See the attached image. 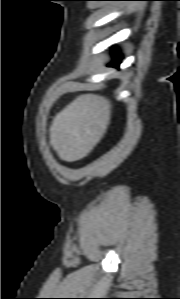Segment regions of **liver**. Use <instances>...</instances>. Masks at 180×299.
Masks as SVG:
<instances>
[{
  "instance_id": "obj_1",
  "label": "liver",
  "mask_w": 180,
  "mask_h": 299,
  "mask_svg": "<svg viewBox=\"0 0 180 299\" xmlns=\"http://www.w3.org/2000/svg\"><path fill=\"white\" fill-rule=\"evenodd\" d=\"M111 102L100 95L83 94L53 119L50 144L66 162L86 157L101 140L111 118Z\"/></svg>"
}]
</instances>
